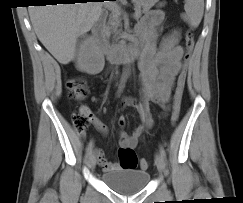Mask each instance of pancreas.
I'll use <instances>...</instances> for the list:
<instances>
[{"mask_svg": "<svg viewBox=\"0 0 243 203\" xmlns=\"http://www.w3.org/2000/svg\"><path fill=\"white\" fill-rule=\"evenodd\" d=\"M159 0H132L134 4V10L136 13L141 16L143 13L148 12ZM121 27V18L120 12L112 11L111 15L109 16L108 22L104 27V31L106 36H110L114 34L116 39H119V35H121V30L118 29Z\"/></svg>", "mask_w": 243, "mask_h": 203, "instance_id": "cf45deb5", "label": "pancreas"}]
</instances>
